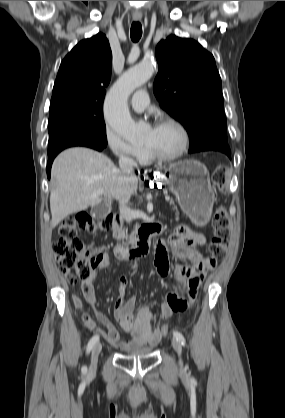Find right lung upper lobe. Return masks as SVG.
Masks as SVG:
<instances>
[{"label": "right lung upper lobe", "instance_id": "cb5924a9", "mask_svg": "<svg viewBox=\"0 0 285 418\" xmlns=\"http://www.w3.org/2000/svg\"><path fill=\"white\" fill-rule=\"evenodd\" d=\"M112 52L102 33L82 40L61 62L50 104H101L111 78Z\"/></svg>", "mask_w": 285, "mask_h": 418}]
</instances>
